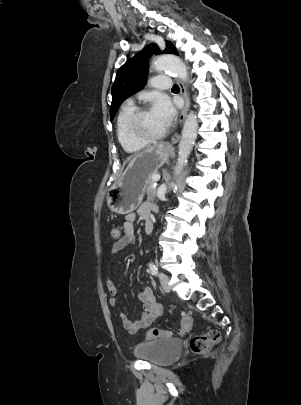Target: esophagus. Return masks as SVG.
I'll list each match as a JSON object with an SVG mask.
<instances>
[{
  "mask_svg": "<svg viewBox=\"0 0 301 405\" xmlns=\"http://www.w3.org/2000/svg\"><path fill=\"white\" fill-rule=\"evenodd\" d=\"M178 84H179V88H180V93L184 99V108L179 116V121L180 123H183V121L185 120V117L187 115V112L189 110V99H188V95H187V90L185 85L183 84V82L181 80H178ZM179 140V135L178 134H174L171 137V142L173 144H176Z\"/></svg>",
  "mask_w": 301,
  "mask_h": 405,
  "instance_id": "1",
  "label": "esophagus"
}]
</instances>
